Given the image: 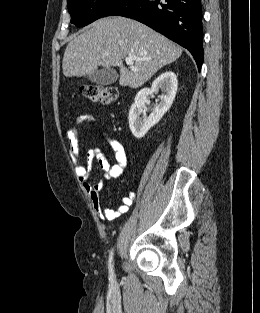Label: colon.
Instances as JSON below:
<instances>
[{
    "label": "colon",
    "instance_id": "colon-1",
    "mask_svg": "<svg viewBox=\"0 0 260 313\" xmlns=\"http://www.w3.org/2000/svg\"><path fill=\"white\" fill-rule=\"evenodd\" d=\"M81 92L90 101L101 105H109L118 98V91L115 87L100 84L84 85L81 87Z\"/></svg>",
    "mask_w": 260,
    "mask_h": 313
}]
</instances>
